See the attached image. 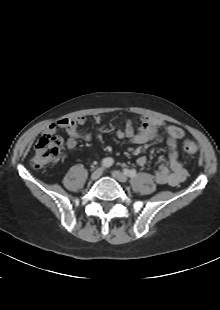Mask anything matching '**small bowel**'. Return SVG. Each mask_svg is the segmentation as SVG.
<instances>
[{"mask_svg":"<svg viewBox=\"0 0 220 310\" xmlns=\"http://www.w3.org/2000/svg\"><path fill=\"white\" fill-rule=\"evenodd\" d=\"M94 121L100 123L102 116L100 114L94 115ZM87 118L83 115L63 118L57 123L49 124L45 129V134L53 135L58 129H64L68 134L66 140V147L73 151L77 147L78 139L90 142L92 135L90 133H83L79 131V126L86 123ZM164 129L167 133V146L169 148V157L167 164L158 166L153 176L156 183L160 185L177 186L182 183L186 177L187 172L184 168L179 156L178 142L185 137V131L172 124H166L163 120L153 117H143L140 123L135 127L131 121L125 123L124 128L117 132L119 139L128 140L133 144H147L155 140L158 131ZM146 156H139L136 163L139 167H144L147 164Z\"/></svg>","mask_w":220,"mask_h":310,"instance_id":"obj_1","label":"small bowel"}]
</instances>
